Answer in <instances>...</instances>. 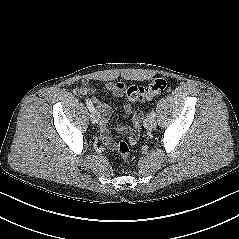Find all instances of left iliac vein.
<instances>
[{
    "instance_id": "left-iliac-vein-1",
    "label": "left iliac vein",
    "mask_w": 239,
    "mask_h": 239,
    "mask_svg": "<svg viewBox=\"0 0 239 239\" xmlns=\"http://www.w3.org/2000/svg\"><path fill=\"white\" fill-rule=\"evenodd\" d=\"M144 127L147 130H153L156 127V120L152 116H147L144 120Z\"/></svg>"
}]
</instances>
